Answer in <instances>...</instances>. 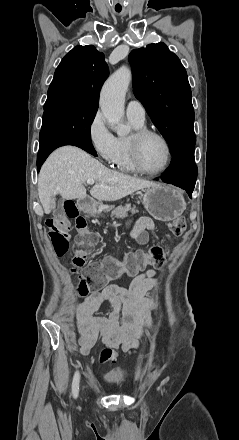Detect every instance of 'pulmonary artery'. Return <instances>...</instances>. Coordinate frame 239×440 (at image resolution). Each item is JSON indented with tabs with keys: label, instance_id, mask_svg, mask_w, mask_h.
<instances>
[{
	"label": "pulmonary artery",
	"instance_id": "1",
	"mask_svg": "<svg viewBox=\"0 0 239 440\" xmlns=\"http://www.w3.org/2000/svg\"><path fill=\"white\" fill-rule=\"evenodd\" d=\"M127 117L136 124H143L145 121V109L142 103L136 99H131L126 107Z\"/></svg>",
	"mask_w": 239,
	"mask_h": 440
}]
</instances>
